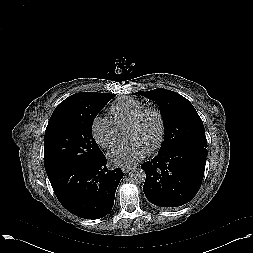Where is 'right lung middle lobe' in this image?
Segmentation results:
<instances>
[{"instance_id": "obj_1", "label": "right lung middle lobe", "mask_w": 253, "mask_h": 253, "mask_svg": "<svg viewBox=\"0 0 253 253\" xmlns=\"http://www.w3.org/2000/svg\"><path fill=\"white\" fill-rule=\"evenodd\" d=\"M116 94L101 93L86 104L55 109L44 137L47 173L99 159L103 153L92 136L96 115Z\"/></svg>"}]
</instances>
